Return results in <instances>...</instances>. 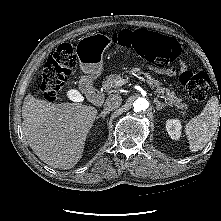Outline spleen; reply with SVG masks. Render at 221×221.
<instances>
[{
  "mask_svg": "<svg viewBox=\"0 0 221 221\" xmlns=\"http://www.w3.org/2000/svg\"><path fill=\"white\" fill-rule=\"evenodd\" d=\"M221 109L217 97H212L199 116L192 118L185 127L191 152L205 147L219 127Z\"/></svg>",
  "mask_w": 221,
  "mask_h": 221,
  "instance_id": "3e777b00",
  "label": "spleen"
}]
</instances>
